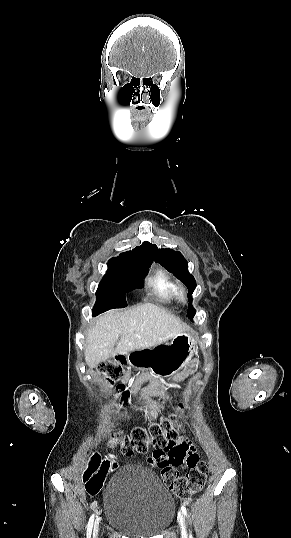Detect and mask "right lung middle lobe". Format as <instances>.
Segmentation results:
<instances>
[{"label": "right lung middle lobe", "mask_w": 291, "mask_h": 538, "mask_svg": "<svg viewBox=\"0 0 291 538\" xmlns=\"http://www.w3.org/2000/svg\"><path fill=\"white\" fill-rule=\"evenodd\" d=\"M151 263L149 260L110 259L107 273L96 291L93 315L127 306L125 294L142 287Z\"/></svg>", "instance_id": "right-lung-middle-lobe-1"}]
</instances>
